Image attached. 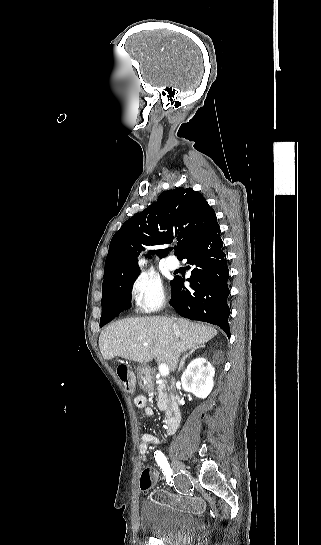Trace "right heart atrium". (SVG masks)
<instances>
[{"label": "right heart atrium", "instance_id": "d8ad5b80", "mask_svg": "<svg viewBox=\"0 0 321 545\" xmlns=\"http://www.w3.org/2000/svg\"><path fill=\"white\" fill-rule=\"evenodd\" d=\"M129 300L139 313L160 311L167 303L161 280L153 272L136 274L130 282Z\"/></svg>", "mask_w": 321, "mask_h": 545}]
</instances>
